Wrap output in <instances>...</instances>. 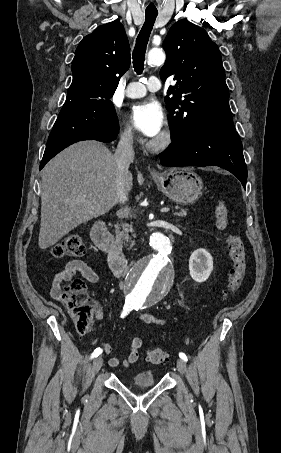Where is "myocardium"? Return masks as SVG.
<instances>
[{"instance_id": "f54148a6", "label": "myocardium", "mask_w": 281, "mask_h": 453, "mask_svg": "<svg viewBox=\"0 0 281 453\" xmlns=\"http://www.w3.org/2000/svg\"><path fill=\"white\" fill-rule=\"evenodd\" d=\"M173 142V133L172 131L167 127L163 129L162 134L160 138L157 139H150L146 143V148L151 150V151H162L167 149Z\"/></svg>"}]
</instances>
